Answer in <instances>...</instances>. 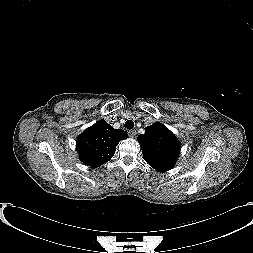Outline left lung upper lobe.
<instances>
[{
  "mask_svg": "<svg viewBox=\"0 0 253 253\" xmlns=\"http://www.w3.org/2000/svg\"><path fill=\"white\" fill-rule=\"evenodd\" d=\"M144 160L157 171L165 172L174 167L180 152L175 135L160 122L146 127L138 136Z\"/></svg>",
  "mask_w": 253,
  "mask_h": 253,
  "instance_id": "1",
  "label": "left lung upper lobe"
}]
</instances>
